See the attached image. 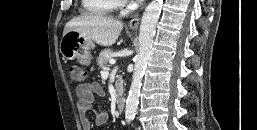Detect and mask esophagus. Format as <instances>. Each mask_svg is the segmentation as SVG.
I'll use <instances>...</instances> for the list:
<instances>
[{
    "instance_id": "esophagus-1",
    "label": "esophagus",
    "mask_w": 257,
    "mask_h": 130,
    "mask_svg": "<svg viewBox=\"0 0 257 130\" xmlns=\"http://www.w3.org/2000/svg\"><path fill=\"white\" fill-rule=\"evenodd\" d=\"M139 21H140L139 15L138 14L134 15L129 21V27L132 29H137L139 25Z\"/></svg>"
}]
</instances>
